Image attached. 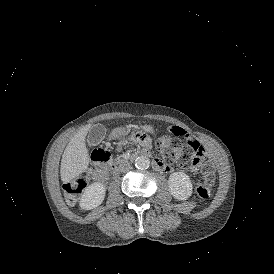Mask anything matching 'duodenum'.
I'll return each instance as SVG.
<instances>
[{"label":"duodenum","mask_w":274,"mask_h":274,"mask_svg":"<svg viewBox=\"0 0 274 274\" xmlns=\"http://www.w3.org/2000/svg\"><path fill=\"white\" fill-rule=\"evenodd\" d=\"M140 155L150 157L152 159L153 166L157 170H167V166L164 164V162L161 161L156 156H154L153 153L150 152L149 150H142V151L134 153V154H132V155L126 157V158L119 159V160H116V161H113V162H110L109 159L106 156L102 155V154H95L94 160L99 162V163L107 164L110 172L111 173H116L122 166L132 162L137 156H140Z\"/></svg>","instance_id":"410a0bca"}]
</instances>
